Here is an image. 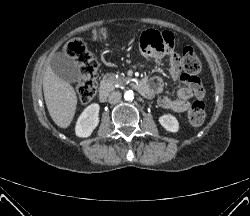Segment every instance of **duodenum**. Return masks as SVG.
<instances>
[{
  "mask_svg": "<svg viewBox=\"0 0 250 216\" xmlns=\"http://www.w3.org/2000/svg\"><path fill=\"white\" fill-rule=\"evenodd\" d=\"M132 85L139 91L144 97H150L152 95L151 88L148 83L143 80H134ZM110 87L107 84H102L99 89V100L101 102L106 101L110 94Z\"/></svg>",
  "mask_w": 250,
  "mask_h": 216,
  "instance_id": "obj_1",
  "label": "duodenum"
}]
</instances>
